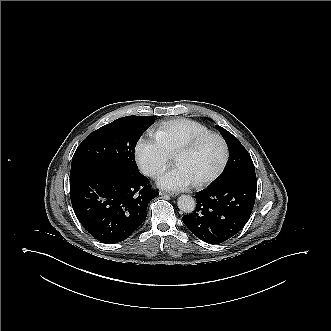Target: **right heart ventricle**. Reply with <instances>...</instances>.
I'll return each instance as SVG.
<instances>
[{"label": "right heart ventricle", "mask_w": 331, "mask_h": 331, "mask_svg": "<svg viewBox=\"0 0 331 331\" xmlns=\"http://www.w3.org/2000/svg\"><path fill=\"white\" fill-rule=\"evenodd\" d=\"M208 132L202 123L188 118H176L161 125L157 143L166 152L174 154L189 140Z\"/></svg>", "instance_id": "1"}]
</instances>
